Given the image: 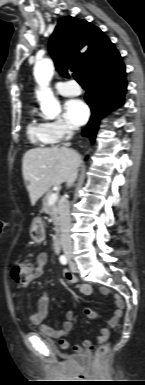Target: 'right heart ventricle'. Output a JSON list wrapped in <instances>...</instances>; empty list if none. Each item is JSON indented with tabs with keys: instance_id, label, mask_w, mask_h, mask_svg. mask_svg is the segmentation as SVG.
<instances>
[{
	"instance_id": "e07e8e85",
	"label": "right heart ventricle",
	"mask_w": 145,
	"mask_h": 385,
	"mask_svg": "<svg viewBox=\"0 0 145 385\" xmlns=\"http://www.w3.org/2000/svg\"><path fill=\"white\" fill-rule=\"evenodd\" d=\"M32 117L27 124V134L29 139L38 145L51 144V137L47 128V124L38 121L34 117V111H32Z\"/></svg>"
}]
</instances>
